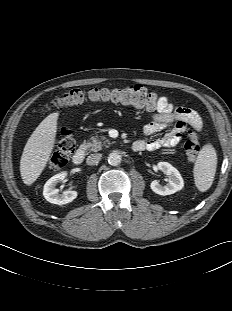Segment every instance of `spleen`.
Returning <instances> with one entry per match:
<instances>
[{
  "label": "spleen",
  "instance_id": "obj_1",
  "mask_svg": "<svg viewBox=\"0 0 232 311\" xmlns=\"http://www.w3.org/2000/svg\"><path fill=\"white\" fill-rule=\"evenodd\" d=\"M217 168V154L211 144L204 145L194 164L193 174L197 189L207 191L213 181Z\"/></svg>",
  "mask_w": 232,
  "mask_h": 311
}]
</instances>
